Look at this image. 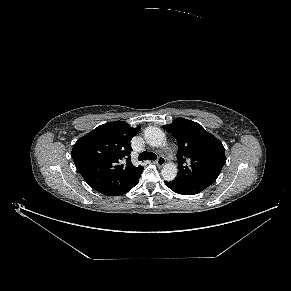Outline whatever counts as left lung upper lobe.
Instances as JSON below:
<instances>
[{
  "instance_id": "left-lung-upper-lobe-1",
  "label": "left lung upper lobe",
  "mask_w": 291,
  "mask_h": 291,
  "mask_svg": "<svg viewBox=\"0 0 291 291\" xmlns=\"http://www.w3.org/2000/svg\"><path fill=\"white\" fill-rule=\"evenodd\" d=\"M163 127L178 143L177 178L215 181L226 162L222 143L200 124L184 118H177Z\"/></svg>"
}]
</instances>
